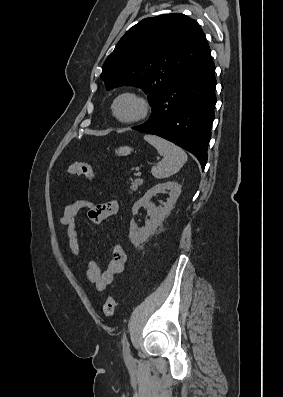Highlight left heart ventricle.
Here are the masks:
<instances>
[{
  "mask_svg": "<svg viewBox=\"0 0 283 397\" xmlns=\"http://www.w3.org/2000/svg\"><path fill=\"white\" fill-rule=\"evenodd\" d=\"M139 102L132 97H124L120 99L116 105V113L124 119L135 117L140 112Z\"/></svg>",
  "mask_w": 283,
  "mask_h": 397,
  "instance_id": "b2bd125f",
  "label": "left heart ventricle"
}]
</instances>
